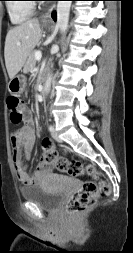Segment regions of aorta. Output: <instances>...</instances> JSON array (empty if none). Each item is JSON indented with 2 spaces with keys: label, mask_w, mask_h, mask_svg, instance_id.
Here are the masks:
<instances>
[{
  "label": "aorta",
  "mask_w": 133,
  "mask_h": 253,
  "mask_svg": "<svg viewBox=\"0 0 133 253\" xmlns=\"http://www.w3.org/2000/svg\"><path fill=\"white\" fill-rule=\"evenodd\" d=\"M71 1H58L57 4V26L62 34H65L68 29V21L70 14ZM52 74H48L45 85L44 92L48 93L51 88Z\"/></svg>",
  "instance_id": "1"
}]
</instances>
